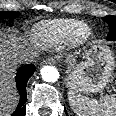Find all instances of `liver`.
<instances>
[{"label":"liver","instance_id":"1","mask_svg":"<svg viewBox=\"0 0 116 116\" xmlns=\"http://www.w3.org/2000/svg\"><path fill=\"white\" fill-rule=\"evenodd\" d=\"M20 48L22 46L16 45L15 41L8 42L7 45L0 43V116L11 111L16 104V97L11 90V77L16 57L21 53Z\"/></svg>","mask_w":116,"mask_h":116}]
</instances>
